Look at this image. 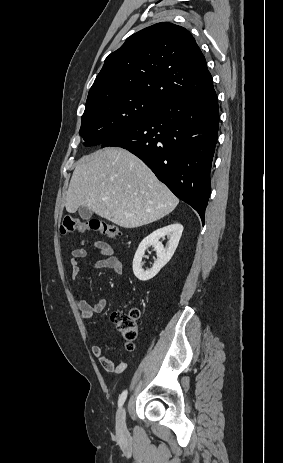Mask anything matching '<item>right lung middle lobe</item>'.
I'll use <instances>...</instances> for the list:
<instances>
[{"instance_id": "obj_1", "label": "right lung middle lobe", "mask_w": 283, "mask_h": 463, "mask_svg": "<svg viewBox=\"0 0 283 463\" xmlns=\"http://www.w3.org/2000/svg\"><path fill=\"white\" fill-rule=\"evenodd\" d=\"M159 103L147 97L118 92L86 102L80 134L85 146L102 144L148 118Z\"/></svg>"}]
</instances>
